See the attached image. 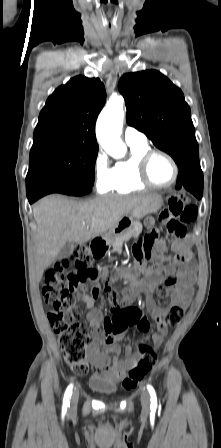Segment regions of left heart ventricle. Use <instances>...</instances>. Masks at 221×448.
Masks as SVG:
<instances>
[{"mask_svg":"<svg viewBox=\"0 0 221 448\" xmlns=\"http://www.w3.org/2000/svg\"><path fill=\"white\" fill-rule=\"evenodd\" d=\"M149 173L155 183L166 184L173 179L174 168L167 158L157 155L151 160Z\"/></svg>","mask_w":221,"mask_h":448,"instance_id":"1","label":"left heart ventricle"}]
</instances>
